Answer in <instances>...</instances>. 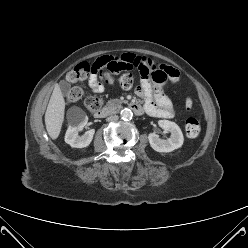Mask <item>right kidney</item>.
<instances>
[{
  "mask_svg": "<svg viewBox=\"0 0 248 248\" xmlns=\"http://www.w3.org/2000/svg\"><path fill=\"white\" fill-rule=\"evenodd\" d=\"M87 115L78 107H73L68 113L69 127L65 134V142L74 148L87 147L94 136L95 130L90 129L83 136H78V132L87 123Z\"/></svg>",
  "mask_w": 248,
  "mask_h": 248,
  "instance_id": "obj_1",
  "label": "right kidney"
}]
</instances>
